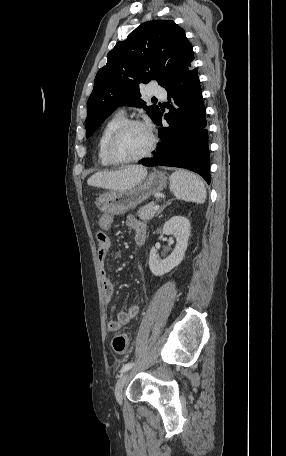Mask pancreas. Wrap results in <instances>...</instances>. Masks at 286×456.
I'll list each match as a JSON object with an SVG mask.
<instances>
[{
    "label": "pancreas",
    "instance_id": "cf45deb5",
    "mask_svg": "<svg viewBox=\"0 0 286 456\" xmlns=\"http://www.w3.org/2000/svg\"><path fill=\"white\" fill-rule=\"evenodd\" d=\"M155 205L154 202H151L141 207L137 213L138 217L143 221L151 220L156 214V210L153 209Z\"/></svg>",
    "mask_w": 286,
    "mask_h": 456
}]
</instances>
